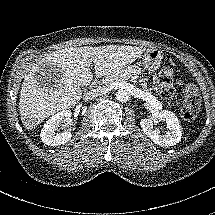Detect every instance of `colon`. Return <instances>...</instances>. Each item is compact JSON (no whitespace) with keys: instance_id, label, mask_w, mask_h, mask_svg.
<instances>
[{"instance_id":"5ec220e1","label":"colon","mask_w":215,"mask_h":215,"mask_svg":"<svg viewBox=\"0 0 215 215\" xmlns=\"http://www.w3.org/2000/svg\"><path fill=\"white\" fill-rule=\"evenodd\" d=\"M175 69L171 63H166L159 71L157 76V84L162 96L165 99L176 100L180 106V113L188 119L196 118L199 111V103L197 96L199 88L196 85H189L186 88V95L182 97L175 91Z\"/></svg>"}]
</instances>
